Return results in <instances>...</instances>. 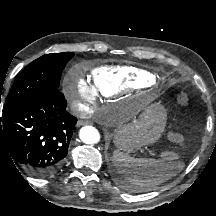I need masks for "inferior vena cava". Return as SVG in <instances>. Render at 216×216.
<instances>
[{
  "label": "inferior vena cava",
  "mask_w": 216,
  "mask_h": 216,
  "mask_svg": "<svg viewBox=\"0 0 216 216\" xmlns=\"http://www.w3.org/2000/svg\"><path fill=\"white\" fill-rule=\"evenodd\" d=\"M82 108L81 104L78 102H75L72 104V110L76 113L78 111H80Z\"/></svg>",
  "instance_id": "inferior-vena-cava-1"
}]
</instances>
